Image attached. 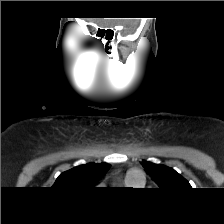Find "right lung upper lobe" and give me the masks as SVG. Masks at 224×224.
<instances>
[{"instance_id": "right-lung-upper-lobe-1", "label": "right lung upper lobe", "mask_w": 224, "mask_h": 224, "mask_svg": "<svg viewBox=\"0 0 224 224\" xmlns=\"http://www.w3.org/2000/svg\"><path fill=\"white\" fill-rule=\"evenodd\" d=\"M108 169L107 163H88L80 165L61 173L53 187L63 190L94 188Z\"/></svg>"}]
</instances>
